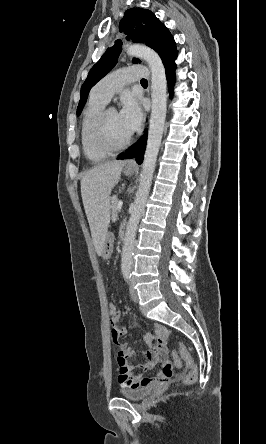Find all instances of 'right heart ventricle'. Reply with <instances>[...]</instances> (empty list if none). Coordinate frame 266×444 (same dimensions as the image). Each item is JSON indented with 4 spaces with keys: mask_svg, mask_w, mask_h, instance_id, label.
Segmentation results:
<instances>
[{
    "mask_svg": "<svg viewBox=\"0 0 266 444\" xmlns=\"http://www.w3.org/2000/svg\"><path fill=\"white\" fill-rule=\"evenodd\" d=\"M107 102L102 99L96 97L94 94H91V97L88 101V104L84 110L82 122H81V131H80V140L83 152L85 156L92 161H101L106 159L110 153L101 152L92 147L89 142V128L97 116V114L105 108Z\"/></svg>",
    "mask_w": 266,
    "mask_h": 444,
    "instance_id": "1",
    "label": "right heart ventricle"
}]
</instances>
